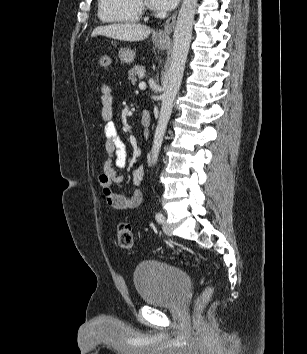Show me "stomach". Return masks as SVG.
<instances>
[{"mask_svg": "<svg viewBox=\"0 0 307 354\" xmlns=\"http://www.w3.org/2000/svg\"><path fill=\"white\" fill-rule=\"evenodd\" d=\"M154 44L159 49H166L168 46V40L166 38H158L154 39ZM118 57L123 63H131L134 60L135 53L131 49L122 48L119 50Z\"/></svg>", "mask_w": 307, "mask_h": 354, "instance_id": "1", "label": "stomach"}]
</instances>
